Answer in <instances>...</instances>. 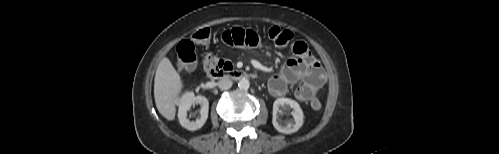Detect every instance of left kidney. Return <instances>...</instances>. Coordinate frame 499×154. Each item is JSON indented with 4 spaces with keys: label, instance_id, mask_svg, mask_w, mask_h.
I'll list each match as a JSON object with an SVG mask.
<instances>
[{
    "label": "left kidney",
    "instance_id": "obj_1",
    "mask_svg": "<svg viewBox=\"0 0 499 154\" xmlns=\"http://www.w3.org/2000/svg\"><path fill=\"white\" fill-rule=\"evenodd\" d=\"M292 109L293 121L285 122L284 124H280L278 122V115L282 114L285 111H289ZM304 122V114L300 107V105L289 98H278L274 101L273 104V126L274 128L284 134H291L297 132L303 125Z\"/></svg>",
    "mask_w": 499,
    "mask_h": 154
}]
</instances>
